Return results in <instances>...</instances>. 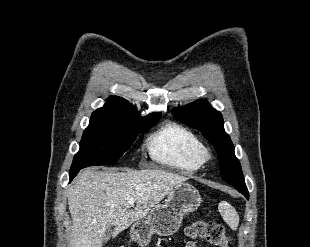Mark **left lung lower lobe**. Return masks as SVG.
<instances>
[{"instance_id": "0a47b994", "label": "left lung lower lobe", "mask_w": 310, "mask_h": 247, "mask_svg": "<svg viewBox=\"0 0 310 247\" xmlns=\"http://www.w3.org/2000/svg\"><path fill=\"white\" fill-rule=\"evenodd\" d=\"M234 186L240 193H242L247 199H249V193L245 185V182L241 184H235Z\"/></svg>"}]
</instances>
